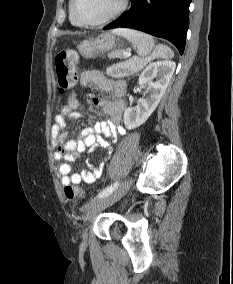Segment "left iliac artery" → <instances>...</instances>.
<instances>
[{"label": "left iliac artery", "instance_id": "left-iliac-artery-1", "mask_svg": "<svg viewBox=\"0 0 233 284\" xmlns=\"http://www.w3.org/2000/svg\"><path fill=\"white\" fill-rule=\"evenodd\" d=\"M119 186V182H115L113 184H111L110 186H108L107 188H105L103 191H101L97 197L98 198H101V197H104V196H107L109 194H111L112 192H114Z\"/></svg>", "mask_w": 233, "mask_h": 284}]
</instances>
